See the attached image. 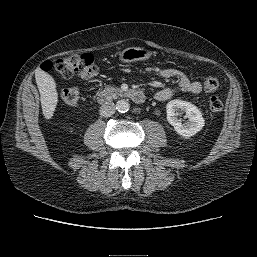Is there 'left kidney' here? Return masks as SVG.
<instances>
[{
    "instance_id": "left-kidney-1",
    "label": "left kidney",
    "mask_w": 257,
    "mask_h": 257,
    "mask_svg": "<svg viewBox=\"0 0 257 257\" xmlns=\"http://www.w3.org/2000/svg\"><path fill=\"white\" fill-rule=\"evenodd\" d=\"M167 121L174 127L177 134L188 138L194 136L202 130L205 120L202 117L200 110L190 102L182 100H171L166 105ZM179 111L185 112V117L188 118L186 123H182L177 118Z\"/></svg>"
}]
</instances>
